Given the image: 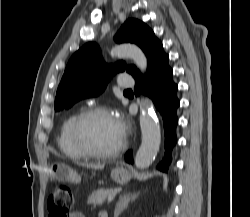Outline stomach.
I'll return each mask as SVG.
<instances>
[{
    "label": "stomach",
    "mask_w": 250,
    "mask_h": 217,
    "mask_svg": "<svg viewBox=\"0 0 250 217\" xmlns=\"http://www.w3.org/2000/svg\"><path fill=\"white\" fill-rule=\"evenodd\" d=\"M50 173L53 179L64 182L79 183L81 181L80 176L71 167L57 163L51 166ZM112 179L119 183L124 184L131 179V173L124 167H116L111 171Z\"/></svg>",
    "instance_id": "stomach-1"
}]
</instances>
